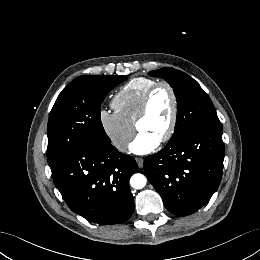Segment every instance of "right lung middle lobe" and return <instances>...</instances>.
<instances>
[{
    "instance_id": "obj_1",
    "label": "right lung middle lobe",
    "mask_w": 260,
    "mask_h": 260,
    "mask_svg": "<svg viewBox=\"0 0 260 260\" xmlns=\"http://www.w3.org/2000/svg\"><path fill=\"white\" fill-rule=\"evenodd\" d=\"M126 78L83 75L69 83L59 94L47 128L49 166L78 148L112 147L101 122L100 106L107 93Z\"/></svg>"
}]
</instances>
